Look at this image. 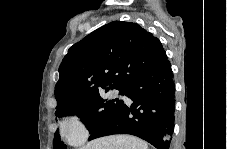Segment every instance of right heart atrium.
I'll return each mask as SVG.
<instances>
[{
  "instance_id": "1",
  "label": "right heart atrium",
  "mask_w": 227,
  "mask_h": 149,
  "mask_svg": "<svg viewBox=\"0 0 227 149\" xmlns=\"http://www.w3.org/2000/svg\"><path fill=\"white\" fill-rule=\"evenodd\" d=\"M63 130L72 143H80L86 135L85 128L77 117H70L63 123Z\"/></svg>"
}]
</instances>
